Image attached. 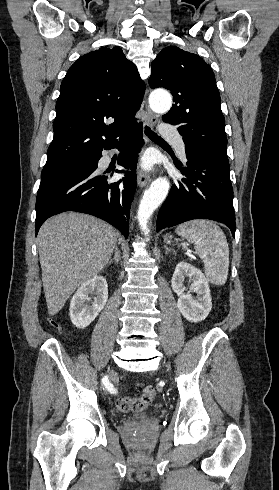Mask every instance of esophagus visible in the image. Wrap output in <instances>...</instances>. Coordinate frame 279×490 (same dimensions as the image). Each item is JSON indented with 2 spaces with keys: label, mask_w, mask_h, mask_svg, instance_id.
Instances as JSON below:
<instances>
[{
  "label": "esophagus",
  "mask_w": 279,
  "mask_h": 490,
  "mask_svg": "<svg viewBox=\"0 0 279 490\" xmlns=\"http://www.w3.org/2000/svg\"><path fill=\"white\" fill-rule=\"evenodd\" d=\"M144 107H145L147 115H148L147 123L151 127H155V125L157 124V121H158L157 115H155L153 112H151V110L147 106L146 101H144ZM150 180H151V177L147 171L141 170V169L138 170L137 183H138V186L140 188L146 187V185H148L150 183Z\"/></svg>",
  "instance_id": "obj_1"
}]
</instances>
